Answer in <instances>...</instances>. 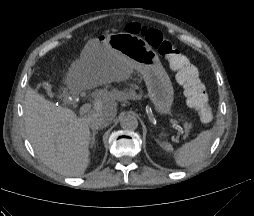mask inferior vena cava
Returning <instances> with one entry per match:
<instances>
[{
    "label": "inferior vena cava",
    "instance_id": "602c4592",
    "mask_svg": "<svg viewBox=\"0 0 254 216\" xmlns=\"http://www.w3.org/2000/svg\"><path fill=\"white\" fill-rule=\"evenodd\" d=\"M110 122V120L98 114H94L89 118V126L92 130L104 128L108 126Z\"/></svg>",
    "mask_w": 254,
    "mask_h": 216
}]
</instances>
